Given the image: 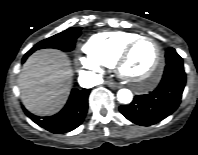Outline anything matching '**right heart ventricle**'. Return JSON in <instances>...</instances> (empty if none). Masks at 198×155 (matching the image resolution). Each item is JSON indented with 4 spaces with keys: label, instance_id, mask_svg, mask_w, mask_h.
Wrapping results in <instances>:
<instances>
[{
    "label": "right heart ventricle",
    "instance_id": "1",
    "mask_svg": "<svg viewBox=\"0 0 198 155\" xmlns=\"http://www.w3.org/2000/svg\"><path fill=\"white\" fill-rule=\"evenodd\" d=\"M139 34L128 31L101 32L92 35L83 45V50L102 66H114L123 47Z\"/></svg>",
    "mask_w": 198,
    "mask_h": 155
}]
</instances>
